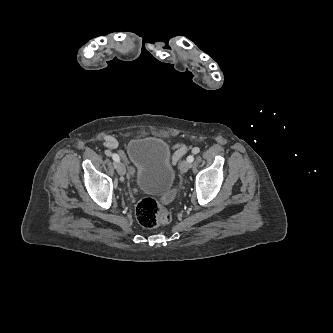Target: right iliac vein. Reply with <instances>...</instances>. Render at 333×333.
Segmentation results:
<instances>
[{"label":"right iliac vein","instance_id":"right-iliac-vein-1","mask_svg":"<svg viewBox=\"0 0 333 333\" xmlns=\"http://www.w3.org/2000/svg\"><path fill=\"white\" fill-rule=\"evenodd\" d=\"M115 167L120 176H124L126 174V168L122 162H117Z\"/></svg>","mask_w":333,"mask_h":333}]
</instances>
